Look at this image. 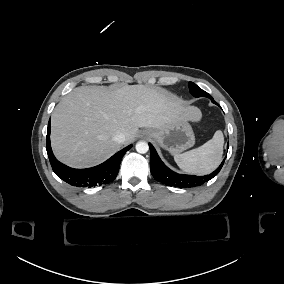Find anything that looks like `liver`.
I'll return each instance as SVG.
<instances>
[{"instance_id":"liver-1","label":"liver","mask_w":284,"mask_h":284,"mask_svg":"<svg viewBox=\"0 0 284 284\" xmlns=\"http://www.w3.org/2000/svg\"><path fill=\"white\" fill-rule=\"evenodd\" d=\"M194 106L172 100L165 90L126 85L109 92L97 86H81L63 97L51 122V144L61 162L76 168L95 166L122 146L114 135L132 143L141 127L165 128L178 120L199 121Z\"/></svg>"}]
</instances>
